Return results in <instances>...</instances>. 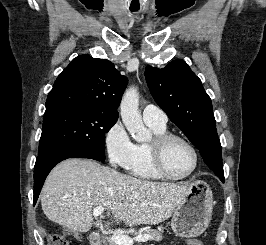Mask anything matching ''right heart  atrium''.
I'll use <instances>...</instances> for the list:
<instances>
[{"mask_svg": "<svg viewBox=\"0 0 266 245\" xmlns=\"http://www.w3.org/2000/svg\"><path fill=\"white\" fill-rule=\"evenodd\" d=\"M103 142L109 164L125 171L130 170L137 145L120 121L113 123L106 130Z\"/></svg>", "mask_w": 266, "mask_h": 245, "instance_id": "1", "label": "right heart atrium"}]
</instances>
